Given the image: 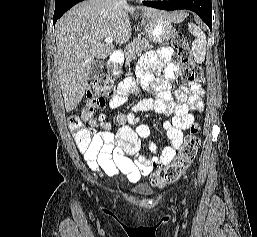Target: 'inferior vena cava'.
Masks as SVG:
<instances>
[{
	"mask_svg": "<svg viewBox=\"0 0 257 237\" xmlns=\"http://www.w3.org/2000/svg\"><path fill=\"white\" fill-rule=\"evenodd\" d=\"M118 2H119V4H122V5H126L127 4L126 0H119Z\"/></svg>",
	"mask_w": 257,
	"mask_h": 237,
	"instance_id": "inferior-vena-cava-1",
	"label": "inferior vena cava"
}]
</instances>
